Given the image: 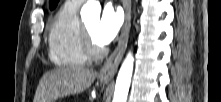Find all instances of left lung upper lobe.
Masks as SVG:
<instances>
[{"label":"left lung upper lobe","instance_id":"obj_1","mask_svg":"<svg viewBox=\"0 0 221 102\" xmlns=\"http://www.w3.org/2000/svg\"><path fill=\"white\" fill-rule=\"evenodd\" d=\"M58 2L59 0H49L50 9H54L57 6Z\"/></svg>","mask_w":221,"mask_h":102}]
</instances>
